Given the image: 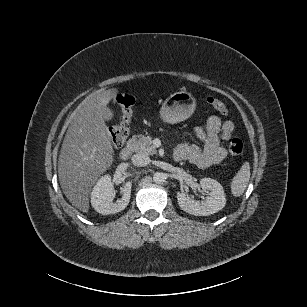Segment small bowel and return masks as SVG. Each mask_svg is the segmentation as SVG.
Instances as JSON below:
<instances>
[{"label":"small bowel","instance_id":"c3829d8e","mask_svg":"<svg viewBox=\"0 0 307 307\" xmlns=\"http://www.w3.org/2000/svg\"><path fill=\"white\" fill-rule=\"evenodd\" d=\"M234 128L232 121H222L220 117L211 115L205 126L194 129L195 135L203 143V146L180 144L174 151V158L178 161L187 160L199 168L217 165L227 156V149L222 145V142L231 139Z\"/></svg>","mask_w":307,"mask_h":307}]
</instances>
